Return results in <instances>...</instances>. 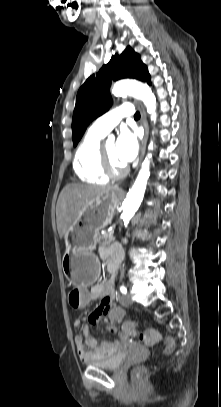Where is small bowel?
<instances>
[{
  "instance_id": "1",
  "label": "small bowel",
  "mask_w": 221,
  "mask_h": 407,
  "mask_svg": "<svg viewBox=\"0 0 221 407\" xmlns=\"http://www.w3.org/2000/svg\"><path fill=\"white\" fill-rule=\"evenodd\" d=\"M116 247L111 248H101L99 251L100 257L104 260H108ZM115 277L112 276L107 281L96 282L88 285L89 293L88 299L89 303L95 299L101 298L100 304L89 316V322L92 324H97L103 316H107V310L111 309L115 303V289H114ZM125 313V311L123 312ZM111 321V318H108ZM130 321V320H129ZM112 322V321H111ZM74 327L76 329H83L86 331V326L84 324L83 318H78L74 321ZM107 330L110 333H115L116 328L113 325H108ZM128 332V330H123ZM75 346L78 355L82 361L99 360L110 356L118 347V343H97L94 339L89 336L76 335L74 337Z\"/></svg>"
}]
</instances>
